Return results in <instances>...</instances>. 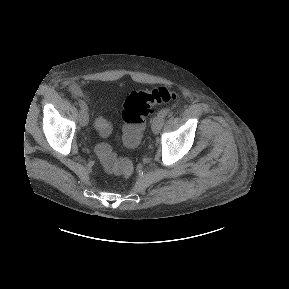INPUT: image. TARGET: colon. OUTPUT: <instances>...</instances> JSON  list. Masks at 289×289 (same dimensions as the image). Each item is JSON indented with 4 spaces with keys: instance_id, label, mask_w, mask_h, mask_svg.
<instances>
[{
    "instance_id": "obj_1",
    "label": "colon",
    "mask_w": 289,
    "mask_h": 289,
    "mask_svg": "<svg viewBox=\"0 0 289 289\" xmlns=\"http://www.w3.org/2000/svg\"><path fill=\"white\" fill-rule=\"evenodd\" d=\"M177 99L178 94L165 87L131 92L123 103V145L128 149L136 148L145 128L146 118L152 112V108L155 105L174 102ZM95 127L103 137L111 133V124L104 117H99L95 121ZM96 152L107 172L125 177L132 174L131 161L127 158H118L108 144L99 143L96 146Z\"/></svg>"
}]
</instances>
